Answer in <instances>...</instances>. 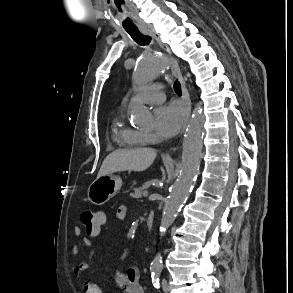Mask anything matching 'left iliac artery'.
Masks as SVG:
<instances>
[{
	"label": "left iliac artery",
	"instance_id": "left-iliac-artery-1",
	"mask_svg": "<svg viewBox=\"0 0 293 293\" xmlns=\"http://www.w3.org/2000/svg\"><path fill=\"white\" fill-rule=\"evenodd\" d=\"M159 275H160V271L159 270H153L151 272L152 283H153V285H154L155 288H159L160 287Z\"/></svg>",
	"mask_w": 293,
	"mask_h": 293
}]
</instances>
